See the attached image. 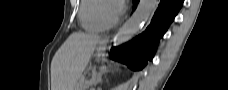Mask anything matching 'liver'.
<instances>
[{"instance_id":"obj_1","label":"liver","mask_w":228,"mask_h":90,"mask_svg":"<svg viewBox=\"0 0 228 90\" xmlns=\"http://www.w3.org/2000/svg\"><path fill=\"white\" fill-rule=\"evenodd\" d=\"M100 40L96 34L72 33L51 62L52 90H74Z\"/></svg>"}]
</instances>
